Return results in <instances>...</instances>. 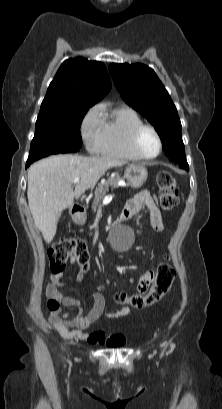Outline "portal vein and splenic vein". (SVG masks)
<instances>
[{
    "instance_id": "18ae733b",
    "label": "portal vein and splenic vein",
    "mask_w": 222,
    "mask_h": 409,
    "mask_svg": "<svg viewBox=\"0 0 222 409\" xmlns=\"http://www.w3.org/2000/svg\"><path fill=\"white\" fill-rule=\"evenodd\" d=\"M79 180H80V178H79V177L74 178V180H73L74 184H77V183L79 182ZM104 203H105V201H104Z\"/></svg>"
}]
</instances>
